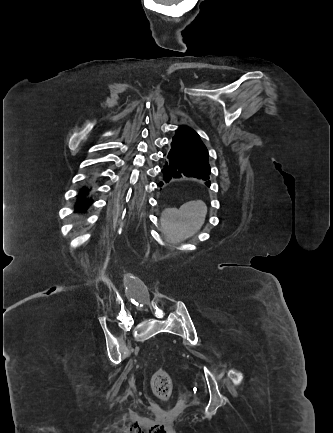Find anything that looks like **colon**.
I'll return each mask as SVG.
<instances>
[{"label":"colon","instance_id":"1","mask_svg":"<svg viewBox=\"0 0 333 433\" xmlns=\"http://www.w3.org/2000/svg\"><path fill=\"white\" fill-rule=\"evenodd\" d=\"M152 390L161 401H167L172 393L173 382L170 373L165 368H159L151 379Z\"/></svg>","mask_w":333,"mask_h":433}]
</instances>
